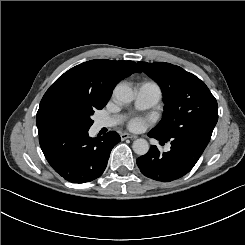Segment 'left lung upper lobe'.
Masks as SVG:
<instances>
[{
	"label": "left lung upper lobe",
	"instance_id": "5c2ea615",
	"mask_svg": "<svg viewBox=\"0 0 245 245\" xmlns=\"http://www.w3.org/2000/svg\"><path fill=\"white\" fill-rule=\"evenodd\" d=\"M138 64L163 92V117L153 130L166 138L186 135L209 141L218 120V105L205 83L169 63Z\"/></svg>",
	"mask_w": 245,
	"mask_h": 245
}]
</instances>
